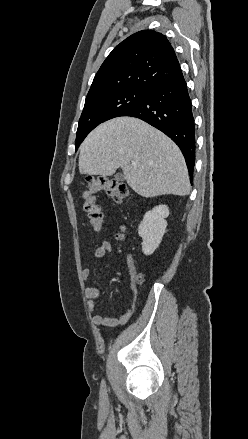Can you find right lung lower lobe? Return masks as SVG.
Returning a JSON list of instances; mask_svg holds the SVG:
<instances>
[{"label":"right lung lower lobe","instance_id":"obj_1","mask_svg":"<svg viewBox=\"0 0 248 439\" xmlns=\"http://www.w3.org/2000/svg\"><path fill=\"white\" fill-rule=\"evenodd\" d=\"M120 116L139 118L170 137L181 149L193 178L195 124L187 84L181 73L156 87Z\"/></svg>","mask_w":248,"mask_h":439}]
</instances>
